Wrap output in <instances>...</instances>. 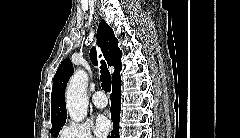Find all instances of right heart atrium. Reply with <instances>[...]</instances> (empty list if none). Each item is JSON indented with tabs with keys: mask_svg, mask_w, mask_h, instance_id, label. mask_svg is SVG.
Wrapping results in <instances>:
<instances>
[{
	"mask_svg": "<svg viewBox=\"0 0 240 138\" xmlns=\"http://www.w3.org/2000/svg\"><path fill=\"white\" fill-rule=\"evenodd\" d=\"M60 138H94V136L87 123L68 121L60 131Z\"/></svg>",
	"mask_w": 240,
	"mask_h": 138,
	"instance_id": "d8ad5b80",
	"label": "right heart atrium"
}]
</instances>
